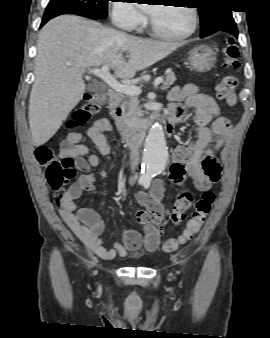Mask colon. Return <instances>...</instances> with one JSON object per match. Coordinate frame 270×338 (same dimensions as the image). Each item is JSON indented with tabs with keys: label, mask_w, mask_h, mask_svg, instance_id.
Listing matches in <instances>:
<instances>
[{
	"label": "colon",
	"mask_w": 270,
	"mask_h": 338,
	"mask_svg": "<svg viewBox=\"0 0 270 338\" xmlns=\"http://www.w3.org/2000/svg\"><path fill=\"white\" fill-rule=\"evenodd\" d=\"M223 53L226 57V65L230 68L237 69L239 67V51L233 38H228L223 43ZM237 87V79L234 76H227L217 87V94L226 101L230 106L236 104L235 90ZM107 105L106 96L102 93L88 94L83 103L74 111L71 123L80 125L86 123L90 117L96 114L102 107ZM215 127L218 131H224L230 127L227 118H219ZM36 161L45 169V177L49 188L52 192H60L69 181H71L75 172L73 169L74 161L71 157H63L58 159L54 152L48 147H39L35 151ZM203 171L212 179L219 178L220 169L214 158L209 154L205 155L202 160ZM191 194H180L177 196L174 206L170 211V219L174 223H180L185 216L186 210L192 202ZM214 202V193L211 191L204 192L196 201L195 209L191 218L187 222L186 228L177 238L164 240L162 250L170 253L176 250L181 244L189 241L196 235L203 226ZM151 219V215L145 211L139 215V221L145 223Z\"/></svg>",
	"instance_id": "colon-1"
}]
</instances>
